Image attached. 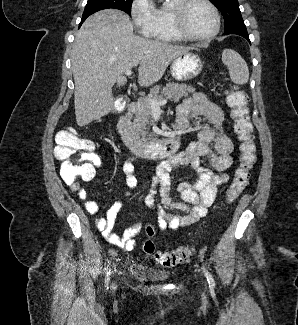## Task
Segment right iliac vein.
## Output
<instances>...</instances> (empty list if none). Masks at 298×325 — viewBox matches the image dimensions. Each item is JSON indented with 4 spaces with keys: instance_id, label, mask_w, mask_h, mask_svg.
Segmentation results:
<instances>
[{
    "instance_id": "63e3f726",
    "label": "right iliac vein",
    "mask_w": 298,
    "mask_h": 325,
    "mask_svg": "<svg viewBox=\"0 0 298 325\" xmlns=\"http://www.w3.org/2000/svg\"><path fill=\"white\" fill-rule=\"evenodd\" d=\"M112 288H113V289L115 288V284L112 285Z\"/></svg>"
}]
</instances>
